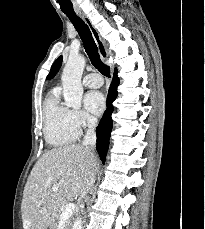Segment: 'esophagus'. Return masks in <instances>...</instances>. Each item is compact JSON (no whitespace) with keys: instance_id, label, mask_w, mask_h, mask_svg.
<instances>
[{"instance_id":"34e87169","label":"esophagus","mask_w":205,"mask_h":229,"mask_svg":"<svg viewBox=\"0 0 205 229\" xmlns=\"http://www.w3.org/2000/svg\"><path fill=\"white\" fill-rule=\"evenodd\" d=\"M81 18L83 19V21L88 25L92 36L98 46L99 49V53L101 55V57L103 59H105L108 56L105 44L103 42V40L100 37L99 32L97 31V29L95 28V26L93 25V23L91 22V20L86 16V15H81Z\"/></svg>"}]
</instances>
